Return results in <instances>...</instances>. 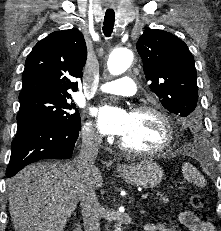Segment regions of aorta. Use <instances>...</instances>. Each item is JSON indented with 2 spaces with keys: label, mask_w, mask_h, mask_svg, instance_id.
I'll return each instance as SVG.
<instances>
[{
  "label": "aorta",
  "mask_w": 221,
  "mask_h": 231,
  "mask_svg": "<svg viewBox=\"0 0 221 231\" xmlns=\"http://www.w3.org/2000/svg\"><path fill=\"white\" fill-rule=\"evenodd\" d=\"M133 60V53L127 48H117L111 52L107 61V67L112 75H120L124 73ZM115 231H121V227H117Z\"/></svg>",
  "instance_id": "762f6f07"
}]
</instances>
